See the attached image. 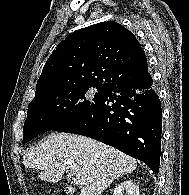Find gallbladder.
I'll return each mask as SVG.
<instances>
[{
	"instance_id": "bac80fb5",
	"label": "gallbladder",
	"mask_w": 189,
	"mask_h": 195,
	"mask_svg": "<svg viewBox=\"0 0 189 195\" xmlns=\"http://www.w3.org/2000/svg\"><path fill=\"white\" fill-rule=\"evenodd\" d=\"M66 191L69 193V195H70V190L68 189V188H66Z\"/></svg>"
}]
</instances>
